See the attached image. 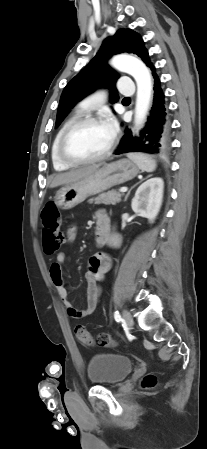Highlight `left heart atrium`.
<instances>
[{
    "label": "left heart atrium",
    "mask_w": 207,
    "mask_h": 449,
    "mask_svg": "<svg viewBox=\"0 0 207 449\" xmlns=\"http://www.w3.org/2000/svg\"><path fill=\"white\" fill-rule=\"evenodd\" d=\"M105 125H106L108 131L110 132V134L112 135V137L114 135H116L118 127H117L116 121L113 118H109L106 121Z\"/></svg>",
    "instance_id": "1"
}]
</instances>
